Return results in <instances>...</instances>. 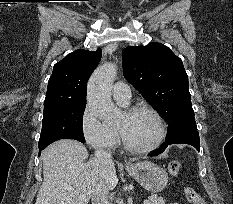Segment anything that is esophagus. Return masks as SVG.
<instances>
[{
    "mask_svg": "<svg viewBox=\"0 0 233 204\" xmlns=\"http://www.w3.org/2000/svg\"><path fill=\"white\" fill-rule=\"evenodd\" d=\"M125 163H126V164L128 163L127 160H125Z\"/></svg>",
    "mask_w": 233,
    "mask_h": 204,
    "instance_id": "1",
    "label": "esophagus"
}]
</instances>
